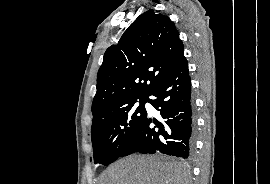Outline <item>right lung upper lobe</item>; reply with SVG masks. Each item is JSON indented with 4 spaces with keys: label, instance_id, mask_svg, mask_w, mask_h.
<instances>
[{
    "label": "right lung upper lobe",
    "instance_id": "1",
    "mask_svg": "<svg viewBox=\"0 0 270 184\" xmlns=\"http://www.w3.org/2000/svg\"><path fill=\"white\" fill-rule=\"evenodd\" d=\"M185 59L179 32L169 17L149 10L105 54L92 103L93 123L123 104L147 97Z\"/></svg>",
    "mask_w": 270,
    "mask_h": 184
}]
</instances>
